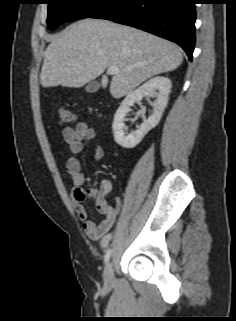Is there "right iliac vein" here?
Returning a JSON list of instances; mask_svg holds the SVG:
<instances>
[{
  "label": "right iliac vein",
  "mask_w": 236,
  "mask_h": 321,
  "mask_svg": "<svg viewBox=\"0 0 236 321\" xmlns=\"http://www.w3.org/2000/svg\"><path fill=\"white\" fill-rule=\"evenodd\" d=\"M104 283L107 287H111L114 282V272H113V265L111 262H108L104 269Z\"/></svg>",
  "instance_id": "right-iliac-vein-1"
}]
</instances>
